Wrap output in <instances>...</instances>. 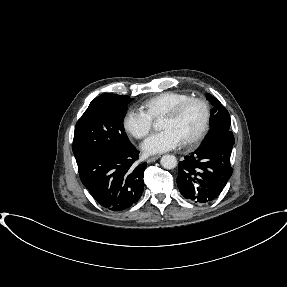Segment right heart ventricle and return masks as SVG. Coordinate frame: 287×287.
<instances>
[{"instance_id":"right-heart-ventricle-1","label":"right heart ventricle","mask_w":287,"mask_h":287,"mask_svg":"<svg viewBox=\"0 0 287 287\" xmlns=\"http://www.w3.org/2000/svg\"><path fill=\"white\" fill-rule=\"evenodd\" d=\"M187 97L185 93L166 91L144 100L141 106L152 119H157Z\"/></svg>"}]
</instances>
